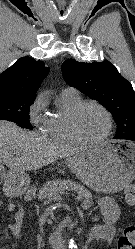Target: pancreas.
I'll return each instance as SVG.
<instances>
[{
  "instance_id": "pancreas-1",
  "label": "pancreas",
  "mask_w": 135,
  "mask_h": 249,
  "mask_svg": "<svg viewBox=\"0 0 135 249\" xmlns=\"http://www.w3.org/2000/svg\"><path fill=\"white\" fill-rule=\"evenodd\" d=\"M65 188H73L81 196L87 199L92 198L91 192L83 186L75 185L71 183L70 181L53 180V181L47 182L46 184L43 185V187L39 189L38 199L44 200V204H46L49 201L54 200L55 198L60 196V193Z\"/></svg>"
}]
</instances>
